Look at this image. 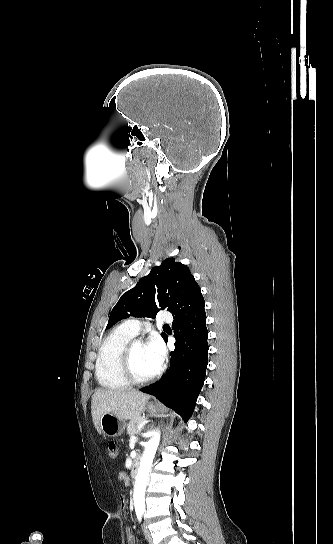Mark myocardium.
<instances>
[{
	"label": "myocardium",
	"mask_w": 333,
	"mask_h": 544,
	"mask_svg": "<svg viewBox=\"0 0 333 544\" xmlns=\"http://www.w3.org/2000/svg\"><path fill=\"white\" fill-rule=\"evenodd\" d=\"M136 343H141V342L138 340H131L125 346L121 356V371L124 378L129 382V384L141 386V385H145L154 381L158 377L160 371L158 370L153 375L147 378H138L135 375L133 371V367H132V352H133V347Z\"/></svg>",
	"instance_id": "1"
}]
</instances>
